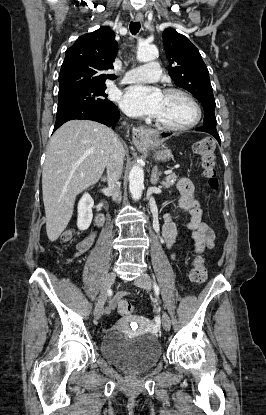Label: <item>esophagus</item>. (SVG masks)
<instances>
[{
  "instance_id": "34e87169",
  "label": "esophagus",
  "mask_w": 266,
  "mask_h": 415,
  "mask_svg": "<svg viewBox=\"0 0 266 415\" xmlns=\"http://www.w3.org/2000/svg\"><path fill=\"white\" fill-rule=\"evenodd\" d=\"M142 21H143V15L142 14H137L135 16V22H142ZM148 135H149V130L148 129H146L144 127L135 128L133 130V142L136 145H141L146 141Z\"/></svg>"
}]
</instances>
